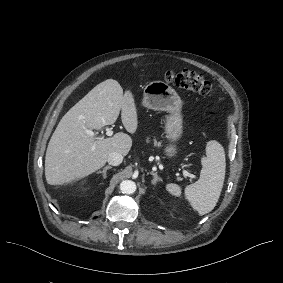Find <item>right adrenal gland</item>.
Here are the masks:
<instances>
[{
    "label": "right adrenal gland",
    "mask_w": 283,
    "mask_h": 283,
    "mask_svg": "<svg viewBox=\"0 0 283 283\" xmlns=\"http://www.w3.org/2000/svg\"><path fill=\"white\" fill-rule=\"evenodd\" d=\"M112 168V166H106L103 170H98L97 173H103V178H107V171Z\"/></svg>",
    "instance_id": "2a0ac1e0"
}]
</instances>
